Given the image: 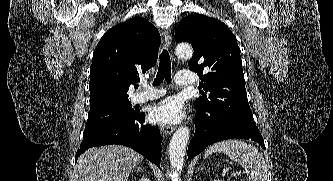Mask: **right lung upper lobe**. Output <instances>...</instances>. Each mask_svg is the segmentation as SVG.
Instances as JSON below:
<instances>
[{"mask_svg": "<svg viewBox=\"0 0 333 181\" xmlns=\"http://www.w3.org/2000/svg\"><path fill=\"white\" fill-rule=\"evenodd\" d=\"M160 42L158 30L143 18L109 29L93 53L90 109L128 99L129 86L156 64Z\"/></svg>", "mask_w": 333, "mask_h": 181, "instance_id": "right-lung-upper-lobe-1", "label": "right lung upper lobe"}]
</instances>
